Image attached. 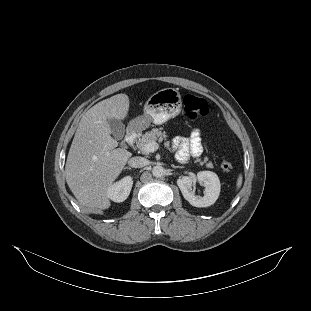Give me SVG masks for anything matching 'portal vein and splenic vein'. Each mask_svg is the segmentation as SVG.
Wrapping results in <instances>:
<instances>
[{"label":"portal vein and splenic vein","mask_w":311,"mask_h":311,"mask_svg":"<svg viewBox=\"0 0 311 311\" xmlns=\"http://www.w3.org/2000/svg\"><path fill=\"white\" fill-rule=\"evenodd\" d=\"M160 148V145L157 142H150L145 144L140 150L145 154L154 153Z\"/></svg>","instance_id":"18ae733b"}]
</instances>
